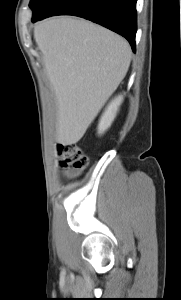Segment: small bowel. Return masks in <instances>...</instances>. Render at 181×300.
Listing matches in <instances>:
<instances>
[{
	"instance_id": "1",
	"label": "small bowel",
	"mask_w": 181,
	"mask_h": 300,
	"mask_svg": "<svg viewBox=\"0 0 181 300\" xmlns=\"http://www.w3.org/2000/svg\"><path fill=\"white\" fill-rule=\"evenodd\" d=\"M65 176H71L72 174L69 171H64Z\"/></svg>"
}]
</instances>
